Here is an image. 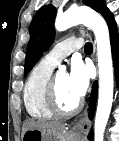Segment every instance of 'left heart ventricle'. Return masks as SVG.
<instances>
[{"instance_id":"left-heart-ventricle-1","label":"left heart ventricle","mask_w":119,"mask_h":141,"mask_svg":"<svg viewBox=\"0 0 119 141\" xmlns=\"http://www.w3.org/2000/svg\"><path fill=\"white\" fill-rule=\"evenodd\" d=\"M57 97L59 104L64 109L73 108L79 99L73 94L68 85V75L65 72H59L56 75Z\"/></svg>"}]
</instances>
